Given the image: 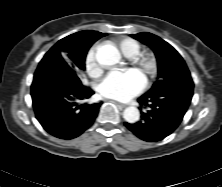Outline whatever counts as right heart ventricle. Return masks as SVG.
Instances as JSON below:
<instances>
[{
	"label": "right heart ventricle",
	"instance_id": "1",
	"mask_svg": "<svg viewBox=\"0 0 222 187\" xmlns=\"http://www.w3.org/2000/svg\"><path fill=\"white\" fill-rule=\"evenodd\" d=\"M120 51L128 58L135 57L141 50V45L138 41L132 38H122L117 41Z\"/></svg>",
	"mask_w": 222,
	"mask_h": 187
}]
</instances>
